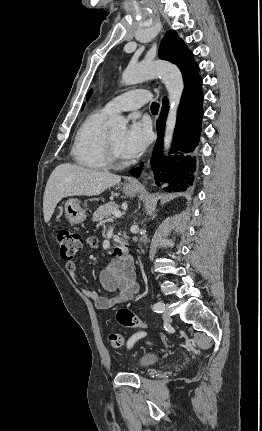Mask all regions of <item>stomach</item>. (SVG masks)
<instances>
[{"instance_id":"1","label":"stomach","mask_w":262,"mask_h":431,"mask_svg":"<svg viewBox=\"0 0 262 431\" xmlns=\"http://www.w3.org/2000/svg\"><path fill=\"white\" fill-rule=\"evenodd\" d=\"M123 192L126 196L133 197L137 193V187L124 185ZM65 214L72 224L82 223L86 219V211L77 198H70L65 202Z\"/></svg>"}]
</instances>
